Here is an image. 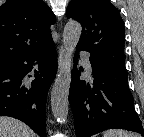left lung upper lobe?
Instances as JSON below:
<instances>
[{
    "instance_id": "obj_1",
    "label": "left lung upper lobe",
    "mask_w": 144,
    "mask_h": 137,
    "mask_svg": "<svg viewBox=\"0 0 144 137\" xmlns=\"http://www.w3.org/2000/svg\"><path fill=\"white\" fill-rule=\"evenodd\" d=\"M67 17L81 23L77 47L90 52L94 59L126 71L124 24L118 9L109 0H72Z\"/></svg>"
}]
</instances>
